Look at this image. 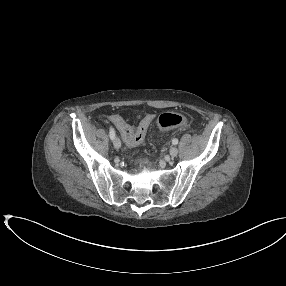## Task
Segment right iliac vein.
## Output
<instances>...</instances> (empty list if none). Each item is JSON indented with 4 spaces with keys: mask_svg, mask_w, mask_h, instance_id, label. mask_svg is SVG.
I'll return each mask as SVG.
<instances>
[{
    "mask_svg": "<svg viewBox=\"0 0 286 286\" xmlns=\"http://www.w3.org/2000/svg\"><path fill=\"white\" fill-rule=\"evenodd\" d=\"M113 145L116 149H119L121 147V141L118 137H115L113 140Z\"/></svg>",
    "mask_w": 286,
    "mask_h": 286,
    "instance_id": "1",
    "label": "right iliac vein"
}]
</instances>
